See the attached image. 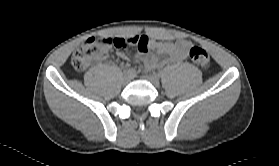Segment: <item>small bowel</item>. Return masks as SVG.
<instances>
[{
	"label": "small bowel",
	"instance_id": "obj_1",
	"mask_svg": "<svg viewBox=\"0 0 279 166\" xmlns=\"http://www.w3.org/2000/svg\"><path fill=\"white\" fill-rule=\"evenodd\" d=\"M128 40H137L136 43L131 44L137 45L138 52L136 54V59L144 64L146 70H153L170 62L184 60L192 45L190 41L185 39L174 42H163L149 38L146 35H136L130 37ZM154 52L166 55L167 58L159 59ZM117 56L122 60L127 59V56L122 51H118Z\"/></svg>",
	"mask_w": 279,
	"mask_h": 166
}]
</instances>
